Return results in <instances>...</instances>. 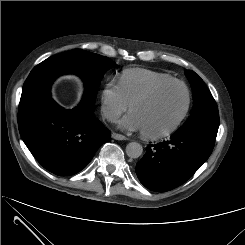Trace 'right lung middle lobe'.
Returning <instances> with one entry per match:
<instances>
[{
	"instance_id": "dd1d6c3e",
	"label": "right lung middle lobe",
	"mask_w": 245,
	"mask_h": 245,
	"mask_svg": "<svg viewBox=\"0 0 245 245\" xmlns=\"http://www.w3.org/2000/svg\"><path fill=\"white\" fill-rule=\"evenodd\" d=\"M52 67L64 73L79 75L85 84V94L80 103L86 110H92L104 73L116 66L112 60L84 50H72L50 57ZM63 73V74H64ZM50 98V90H38L29 82L24 83L19 103V114L29 112L40 102Z\"/></svg>"
}]
</instances>
